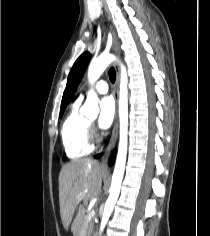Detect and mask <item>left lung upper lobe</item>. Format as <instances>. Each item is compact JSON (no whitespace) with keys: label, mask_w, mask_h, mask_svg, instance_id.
<instances>
[{"label":"left lung upper lobe","mask_w":210,"mask_h":236,"mask_svg":"<svg viewBox=\"0 0 210 236\" xmlns=\"http://www.w3.org/2000/svg\"><path fill=\"white\" fill-rule=\"evenodd\" d=\"M91 55L89 52H84L74 63L67 80L66 89L63 94L60 117L62 116L66 106L69 104L72 99L82 76L87 68V65L90 61Z\"/></svg>","instance_id":"obj_1"}]
</instances>
